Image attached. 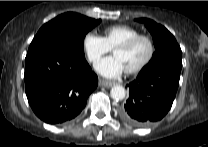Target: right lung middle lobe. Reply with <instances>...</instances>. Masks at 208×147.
Returning <instances> with one entry per match:
<instances>
[{"label":"right lung middle lobe","mask_w":208,"mask_h":147,"mask_svg":"<svg viewBox=\"0 0 208 147\" xmlns=\"http://www.w3.org/2000/svg\"><path fill=\"white\" fill-rule=\"evenodd\" d=\"M101 19H93L78 13L67 12L44 24L33 38L27 55L48 48H65L85 58L83 42L85 35Z\"/></svg>","instance_id":"1"}]
</instances>
